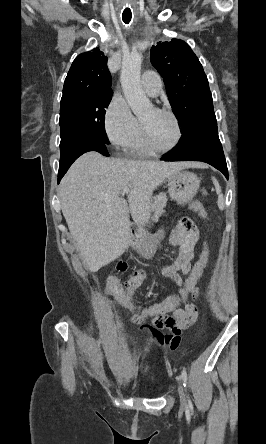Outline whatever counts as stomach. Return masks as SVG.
Returning <instances> with one entry per match:
<instances>
[{
	"instance_id": "1",
	"label": "stomach",
	"mask_w": 266,
	"mask_h": 444,
	"mask_svg": "<svg viewBox=\"0 0 266 444\" xmlns=\"http://www.w3.org/2000/svg\"><path fill=\"white\" fill-rule=\"evenodd\" d=\"M169 185V195L178 204H187L196 195L199 187L200 180L196 174L181 170L176 172L173 176L168 179ZM164 234L162 232L158 233L154 237H144L143 243L145 247L149 250L146 254L147 257L153 255V251L157 244L163 239Z\"/></svg>"
}]
</instances>
